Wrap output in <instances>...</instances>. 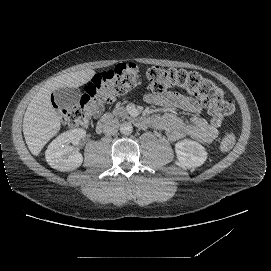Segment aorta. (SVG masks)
Listing matches in <instances>:
<instances>
[{
    "label": "aorta",
    "mask_w": 271,
    "mask_h": 271,
    "mask_svg": "<svg viewBox=\"0 0 271 271\" xmlns=\"http://www.w3.org/2000/svg\"><path fill=\"white\" fill-rule=\"evenodd\" d=\"M133 131V126L128 122H123L120 125V133L124 135H130Z\"/></svg>",
    "instance_id": "obj_1"
}]
</instances>
